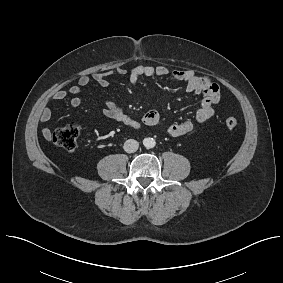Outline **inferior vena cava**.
<instances>
[{
    "label": "inferior vena cava",
    "mask_w": 283,
    "mask_h": 283,
    "mask_svg": "<svg viewBox=\"0 0 283 283\" xmlns=\"http://www.w3.org/2000/svg\"><path fill=\"white\" fill-rule=\"evenodd\" d=\"M123 147L127 153H134L138 150L139 143L134 139H128L127 141H125Z\"/></svg>",
    "instance_id": "obj_1"
}]
</instances>
